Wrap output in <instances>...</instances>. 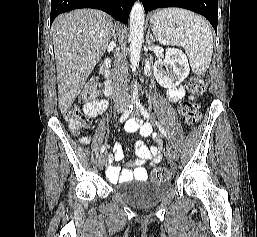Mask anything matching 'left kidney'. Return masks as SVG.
I'll list each match as a JSON object with an SVG mask.
<instances>
[{
    "mask_svg": "<svg viewBox=\"0 0 257 237\" xmlns=\"http://www.w3.org/2000/svg\"><path fill=\"white\" fill-rule=\"evenodd\" d=\"M153 70L154 76L161 86L174 88L188 77L190 67L186 55L181 50L168 48L165 58L155 61Z\"/></svg>",
    "mask_w": 257,
    "mask_h": 237,
    "instance_id": "left-kidney-1",
    "label": "left kidney"
}]
</instances>
